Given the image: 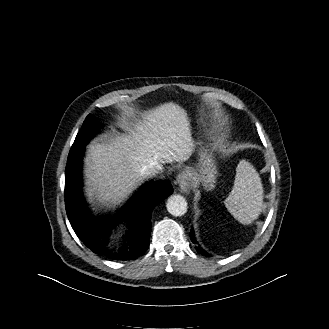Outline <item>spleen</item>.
Here are the masks:
<instances>
[{
  "label": "spleen",
  "instance_id": "obj_1",
  "mask_svg": "<svg viewBox=\"0 0 329 329\" xmlns=\"http://www.w3.org/2000/svg\"><path fill=\"white\" fill-rule=\"evenodd\" d=\"M233 217L242 224L252 223L263 207V186L259 174L246 160L236 168L234 185L224 201Z\"/></svg>",
  "mask_w": 329,
  "mask_h": 329
}]
</instances>
